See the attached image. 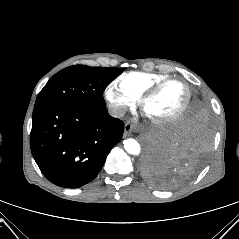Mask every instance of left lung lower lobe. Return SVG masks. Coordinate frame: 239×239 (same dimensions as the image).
Returning a JSON list of instances; mask_svg holds the SVG:
<instances>
[{"instance_id":"left-lung-lower-lobe-1","label":"left lung lower lobe","mask_w":239,"mask_h":239,"mask_svg":"<svg viewBox=\"0 0 239 239\" xmlns=\"http://www.w3.org/2000/svg\"><path fill=\"white\" fill-rule=\"evenodd\" d=\"M211 137L208 111L196 102L167 133L149 144L142 165L144 176L161 188L186 182L203 165Z\"/></svg>"}]
</instances>
